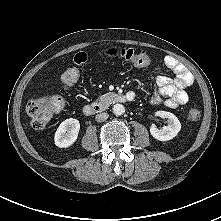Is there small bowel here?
Returning <instances> with one entry per match:
<instances>
[{"instance_id":"obj_1","label":"small bowel","mask_w":221,"mask_h":221,"mask_svg":"<svg viewBox=\"0 0 221 221\" xmlns=\"http://www.w3.org/2000/svg\"><path fill=\"white\" fill-rule=\"evenodd\" d=\"M164 62L167 68L173 72L174 77L161 75L157 78L158 91L152 96L151 101L154 103L163 102L171 108L184 105L189 100L186 88L193 82L192 74L174 57L167 56Z\"/></svg>"}]
</instances>
